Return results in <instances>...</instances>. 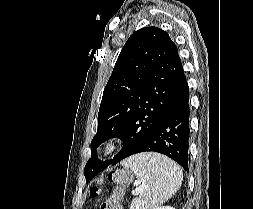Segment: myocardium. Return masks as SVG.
<instances>
[{
	"instance_id": "f54148a6",
	"label": "myocardium",
	"mask_w": 253,
	"mask_h": 209,
	"mask_svg": "<svg viewBox=\"0 0 253 209\" xmlns=\"http://www.w3.org/2000/svg\"><path fill=\"white\" fill-rule=\"evenodd\" d=\"M118 139L115 137L107 139L101 146L97 148L96 155L98 159H102L110 155L116 150Z\"/></svg>"
}]
</instances>
